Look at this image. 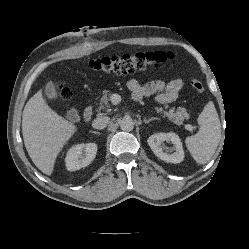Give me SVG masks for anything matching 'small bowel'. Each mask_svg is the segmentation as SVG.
Instances as JSON below:
<instances>
[{
	"label": "small bowel",
	"instance_id": "1",
	"mask_svg": "<svg viewBox=\"0 0 249 249\" xmlns=\"http://www.w3.org/2000/svg\"><path fill=\"white\" fill-rule=\"evenodd\" d=\"M127 86L135 101L156 94V101L159 104H166L178 98L183 87V81L181 78L173 79L167 83L161 80H153L142 85L138 80L131 79L128 81Z\"/></svg>",
	"mask_w": 249,
	"mask_h": 249
}]
</instances>
